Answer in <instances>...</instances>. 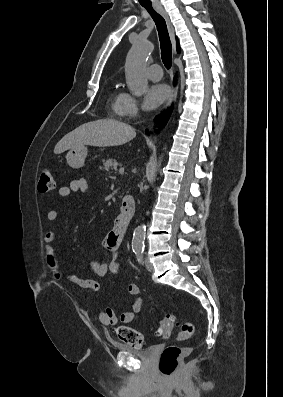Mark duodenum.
Instances as JSON below:
<instances>
[{"label":"duodenum","instance_id":"410a0bca","mask_svg":"<svg viewBox=\"0 0 283 397\" xmlns=\"http://www.w3.org/2000/svg\"><path fill=\"white\" fill-rule=\"evenodd\" d=\"M135 212V200L131 195H126L122 199L121 211L114 222V228L124 234L130 225Z\"/></svg>","mask_w":283,"mask_h":397}]
</instances>
